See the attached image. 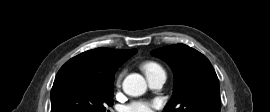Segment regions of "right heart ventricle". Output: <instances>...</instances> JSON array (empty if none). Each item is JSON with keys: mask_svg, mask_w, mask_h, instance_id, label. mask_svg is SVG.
Returning a JSON list of instances; mask_svg holds the SVG:
<instances>
[{"mask_svg": "<svg viewBox=\"0 0 270 112\" xmlns=\"http://www.w3.org/2000/svg\"><path fill=\"white\" fill-rule=\"evenodd\" d=\"M142 68L146 75L163 70L162 67L158 63L153 62V61L144 63Z\"/></svg>", "mask_w": 270, "mask_h": 112, "instance_id": "obj_1", "label": "right heart ventricle"}]
</instances>
